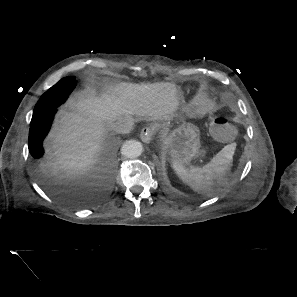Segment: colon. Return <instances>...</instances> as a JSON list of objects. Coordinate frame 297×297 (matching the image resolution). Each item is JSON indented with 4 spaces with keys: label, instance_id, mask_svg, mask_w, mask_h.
I'll use <instances>...</instances> for the list:
<instances>
[{
    "label": "colon",
    "instance_id": "obj_1",
    "mask_svg": "<svg viewBox=\"0 0 297 297\" xmlns=\"http://www.w3.org/2000/svg\"><path fill=\"white\" fill-rule=\"evenodd\" d=\"M212 134L220 140H229L234 136V127L224 115L214 117L210 124Z\"/></svg>",
    "mask_w": 297,
    "mask_h": 297
}]
</instances>
